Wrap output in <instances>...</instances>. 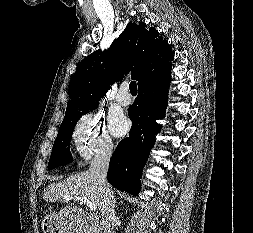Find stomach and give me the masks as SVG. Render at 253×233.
I'll list each match as a JSON object with an SVG mask.
<instances>
[{
  "label": "stomach",
  "mask_w": 253,
  "mask_h": 233,
  "mask_svg": "<svg viewBox=\"0 0 253 233\" xmlns=\"http://www.w3.org/2000/svg\"><path fill=\"white\" fill-rule=\"evenodd\" d=\"M42 229L44 233H81L70 210L48 215L43 220Z\"/></svg>",
  "instance_id": "0dacf381"
}]
</instances>
